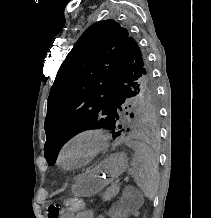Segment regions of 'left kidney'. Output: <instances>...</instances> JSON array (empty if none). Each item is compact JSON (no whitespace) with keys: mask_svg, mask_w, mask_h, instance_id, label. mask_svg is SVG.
Returning <instances> with one entry per match:
<instances>
[{"mask_svg":"<svg viewBox=\"0 0 211 218\" xmlns=\"http://www.w3.org/2000/svg\"><path fill=\"white\" fill-rule=\"evenodd\" d=\"M130 206V198H118V202H113V207H109V218H137L136 207Z\"/></svg>","mask_w":211,"mask_h":218,"instance_id":"5707ae66","label":"left kidney"}]
</instances>
